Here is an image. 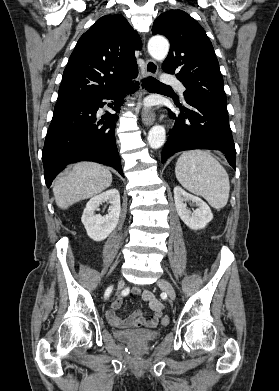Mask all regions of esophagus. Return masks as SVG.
I'll return each instance as SVG.
<instances>
[{
  "mask_svg": "<svg viewBox=\"0 0 279 391\" xmlns=\"http://www.w3.org/2000/svg\"><path fill=\"white\" fill-rule=\"evenodd\" d=\"M145 74L150 77H155L158 74V65L152 60L145 62ZM155 121V115L152 111L146 110L142 115V122L145 126H151Z\"/></svg>",
  "mask_w": 279,
  "mask_h": 391,
  "instance_id": "34e87169",
  "label": "esophagus"
}]
</instances>
